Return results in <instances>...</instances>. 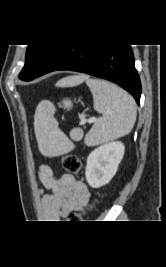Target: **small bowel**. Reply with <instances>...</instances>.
I'll return each instance as SVG.
<instances>
[{
	"instance_id": "obj_1",
	"label": "small bowel",
	"mask_w": 166,
	"mask_h": 267,
	"mask_svg": "<svg viewBox=\"0 0 166 267\" xmlns=\"http://www.w3.org/2000/svg\"><path fill=\"white\" fill-rule=\"evenodd\" d=\"M39 179L48 190L42 196V209L48 220H60L70 212L80 210L89 202L90 194L84 183L73 175L57 177L49 165H41Z\"/></svg>"
}]
</instances>
